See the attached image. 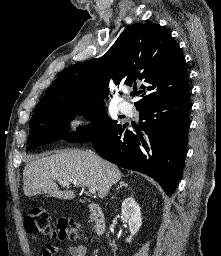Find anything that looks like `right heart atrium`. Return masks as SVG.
Segmentation results:
<instances>
[{
	"mask_svg": "<svg viewBox=\"0 0 221 256\" xmlns=\"http://www.w3.org/2000/svg\"><path fill=\"white\" fill-rule=\"evenodd\" d=\"M91 122V119L87 116H78L72 119L68 124V130L71 132L78 131L86 128Z\"/></svg>",
	"mask_w": 221,
	"mask_h": 256,
	"instance_id": "obj_1",
	"label": "right heart atrium"
}]
</instances>
